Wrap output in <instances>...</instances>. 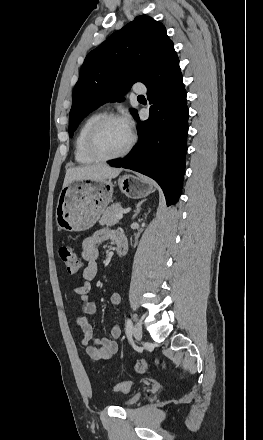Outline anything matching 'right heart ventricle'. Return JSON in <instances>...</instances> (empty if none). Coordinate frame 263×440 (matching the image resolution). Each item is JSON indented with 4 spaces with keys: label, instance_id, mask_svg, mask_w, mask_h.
I'll list each match as a JSON object with an SVG mask.
<instances>
[{
    "label": "right heart ventricle",
    "instance_id": "e07e8e85",
    "mask_svg": "<svg viewBox=\"0 0 263 440\" xmlns=\"http://www.w3.org/2000/svg\"><path fill=\"white\" fill-rule=\"evenodd\" d=\"M102 115H104V113L101 111L90 114L88 117L85 118L77 131L74 141V157L76 161L80 164L86 165L97 161L92 158L86 150V137L93 123Z\"/></svg>",
    "mask_w": 263,
    "mask_h": 440
}]
</instances>
